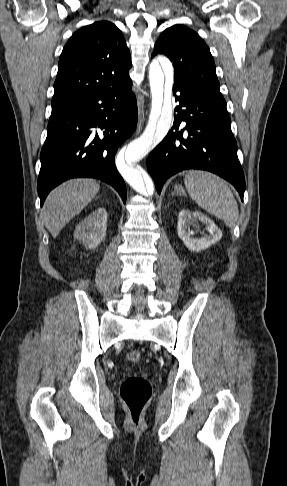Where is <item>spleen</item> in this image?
<instances>
[{
  "label": "spleen",
  "mask_w": 287,
  "mask_h": 486,
  "mask_svg": "<svg viewBox=\"0 0 287 486\" xmlns=\"http://www.w3.org/2000/svg\"><path fill=\"white\" fill-rule=\"evenodd\" d=\"M190 197L208 213L234 227L239 217L237 201L227 182L210 172L192 170L185 176Z\"/></svg>",
  "instance_id": "spleen-1"
}]
</instances>
